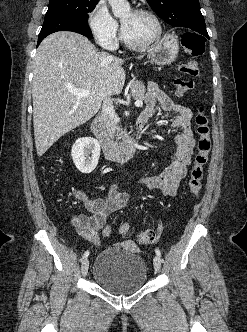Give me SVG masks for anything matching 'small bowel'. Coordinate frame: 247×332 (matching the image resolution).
I'll use <instances>...</instances> for the list:
<instances>
[{"label": "small bowel", "instance_id": "obj_1", "mask_svg": "<svg viewBox=\"0 0 247 332\" xmlns=\"http://www.w3.org/2000/svg\"><path fill=\"white\" fill-rule=\"evenodd\" d=\"M158 107L176 115L173 125L180 129V133L174 137L175 155L170 165L160 174L142 178L138 185L147 189L159 190L166 196H174L186 177L195 146L191 127L192 112L183 104L170 98L158 85L152 83L146 95V108L141 116L148 120L157 113ZM74 194L83 202L91 215L80 214L73 219L72 223L83 238L98 245L100 243L99 231L104 227L108 216L126 206L129 194L118 191L116 185L110 187L106 199H90L80 190H76Z\"/></svg>", "mask_w": 247, "mask_h": 332}]
</instances>
